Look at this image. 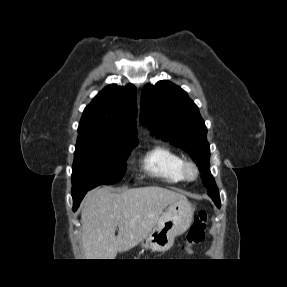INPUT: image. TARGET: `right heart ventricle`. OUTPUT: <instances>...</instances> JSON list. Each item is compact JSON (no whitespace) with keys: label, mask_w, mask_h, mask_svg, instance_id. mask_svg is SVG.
<instances>
[{"label":"right heart ventricle","mask_w":287,"mask_h":287,"mask_svg":"<svg viewBox=\"0 0 287 287\" xmlns=\"http://www.w3.org/2000/svg\"><path fill=\"white\" fill-rule=\"evenodd\" d=\"M183 162L184 158L173 148L157 144L143 156L142 167L152 177L168 184H179L184 181Z\"/></svg>","instance_id":"e07e8e85"}]
</instances>
